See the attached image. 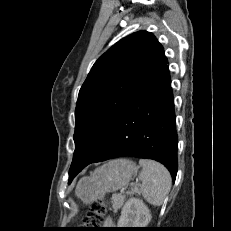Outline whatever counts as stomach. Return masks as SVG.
<instances>
[{"mask_svg": "<svg viewBox=\"0 0 231 231\" xmlns=\"http://www.w3.org/2000/svg\"><path fill=\"white\" fill-rule=\"evenodd\" d=\"M137 166L130 160H112L97 168L89 177H83L77 184L76 195L85 204L104 198L106 193L115 192L127 186Z\"/></svg>", "mask_w": 231, "mask_h": 231, "instance_id": "0dacf381", "label": "stomach"}]
</instances>
